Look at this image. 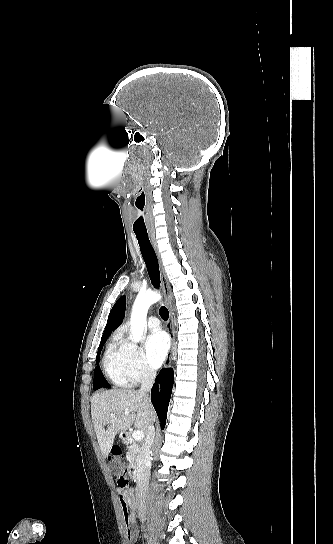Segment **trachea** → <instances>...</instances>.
<instances>
[{
	"label": "trachea",
	"mask_w": 333,
	"mask_h": 544,
	"mask_svg": "<svg viewBox=\"0 0 333 544\" xmlns=\"http://www.w3.org/2000/svg\"><path fill=\"white\" fill-rule=\"evenodd\" d=\"M142 257L145 261L150 280L155 288L160 287V271L156 253L150 242L147 233L135 232ZM159 314L163 320H168L169 312L165 306H162L159 310Z\"/></svg>",
	"instance_id": "3493384b"
}]
</instances>
